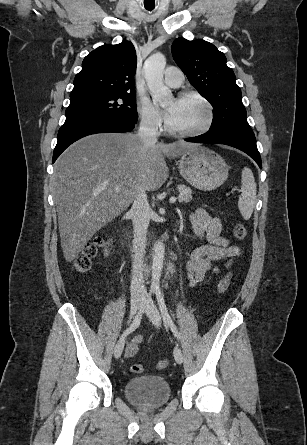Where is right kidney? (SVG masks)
Segmentation results:
<instances>
[{
  "instance_id": "ca27d5eb",
  "label": "right kidney",
  "mask_w": 307,
  "mask_h": 445,
  "mask_svg": "<svg viewBox=\"0 0 307 445\" xmlns=\"http://www.w3.org/2000/svg\"><path fill=\"white\" fill-rule=\"evenodd\" d=\"M108 253H109V251H107V249H106V251H105V257H108Z\"/></svg>"
}]
</instances>
